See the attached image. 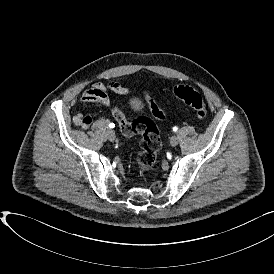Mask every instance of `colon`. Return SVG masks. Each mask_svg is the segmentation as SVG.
Masks as SVG:
<instances>
[{"label": "colon", "mask_w": 274, "mask_h": 274, "mask_svg": "<svg viewBox=\"0 0 274 274\" xmlns=\"http://www.w3.org/2000/svg\"><path fill=\"white\" fill-rule=\"evenodd\" d=\"M173 95L179 101L193 108L200 118H204L207 109L200 93L189 85H178L173 90ZM148 108L153 118L163 121L166 114L155 100L149 99ZM112 116L120 127L125 137L142 135L141 150L136 154L134 164L140 173L149 172L155 165L158 150L161 148V141L156 123H152V118L139 116L129 121L119 107H113Z\"/></svg>", "instance_id": "obj_1"}]
</instances>
